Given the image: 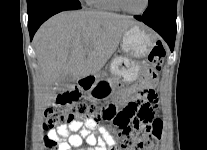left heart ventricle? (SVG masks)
Returning a JSON list of instances; mask_svg holds the SVG:
<instances>
[{
	"instance_id": "left-heart-ventricle-1",
	"label": "left heart ventricle",
	"mask_w": 207,
	"mask_h": 150,
	"mask_svg": "<svg viewBox=\"0 0 207 150\" xmlns=\"http://www.w3.org/2000/svg\"><path fill=\"white\" fill-rule=\"evenodd\" d=\"M146 0H122L124 6L131 11H139L145 5Z\"/></svg>"
}]
</instances>
